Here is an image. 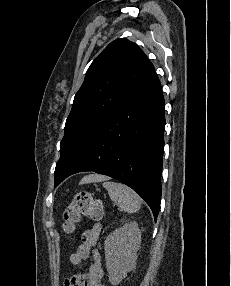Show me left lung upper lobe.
<instances>
[{"label":"left lung upper lobe","mask_w":231,"mask_h":286,"mask_svg":"<svg viewBox=\"0 0 231 286\" xmlns=\"http://www.w3.org/2000/svg\"><path fill=\"white\" fill-rule=\"evenodd\" d=\"M154 70L143 51L127 39L111 42L92 62L66 120L55 186L90 132Z\"/></svg>","instance_id":"5c2ea615"}]
</instances>
